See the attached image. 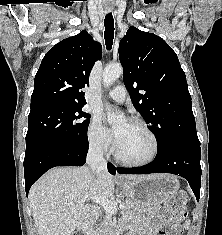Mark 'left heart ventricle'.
Wrapping results in <instances>:
<instances>
[{
  "label": "left heart ventricle",
  "mask_w": 222,
  "mask_h": 235,
  "mask_svg": "<svg viewBox=\"0 0 222 235\" xmlns=\"http://www.w3.org/2000/svg\"><path fill=\"white\" fill-rule=\"evenodd\" d=\"M118 130L122 131V138L117 145L124 158L142 161L152 155L154 143L146 131L126 122L120 124Z\"/></svg>",
  "instance_id": "b2bd125f"
}]
</instances>
